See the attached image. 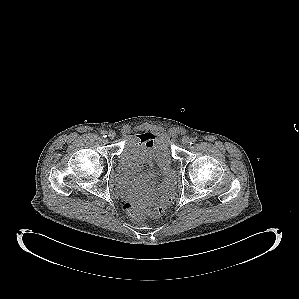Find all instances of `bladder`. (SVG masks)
Wrapping results in <instances>:
<instances>
[{"label":"bladder","mask_w":299,"mask_h":299,"mask_svg":"<svg viewBox=\"0 0 299 299\" xmlns=\"http://www.w3.org/2000/svg\"><path fill=\"white\" fill-rule=\"evenodd\" d=\"M145 157L168 169L171 177H174V159L170 142L165 134L154 137L151 145L146 146L136 137H128L113 166V177L116 183H123L131 178L136 172V162Z\"/></svg>","instance_id":"31cf9c89"}]
</instances>
